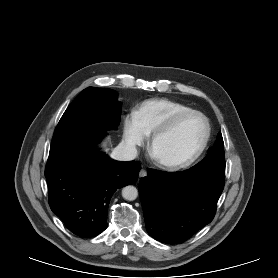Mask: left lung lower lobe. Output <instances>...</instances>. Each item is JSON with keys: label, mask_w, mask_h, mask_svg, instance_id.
I'll return each instance as SVG.
<instances>
[{"label": "left lung lower lobe", "mask_w": 278, "mask_h": 278, "mask_svg": "<svg viewBox=\"0 0 278 278\" xmlns=\"http://www.w3.org/2000/svg\"><path fill=\"white\" fill-rule=\"evenodd\" d=\"M224 181L225 176L192 169H149L139 184L148 234L166 244L189 239L213 220Z\"/></svg>", "instance_id": "1"}]
</instances>
